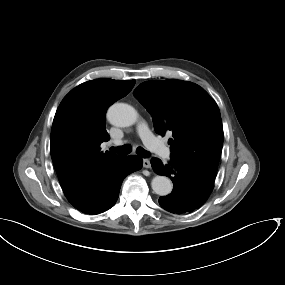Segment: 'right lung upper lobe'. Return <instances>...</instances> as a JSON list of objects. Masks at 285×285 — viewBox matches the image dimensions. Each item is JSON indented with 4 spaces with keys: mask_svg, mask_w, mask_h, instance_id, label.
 <instances>
[{
    "mask_svg": "<svg viewBox=\"0 0 285 285\" xmlns=\"http://www.w3.org/2000/svg\"><path fill=\"white\" fill-rule=\"evenodd\" d=\"M134 85L135 80L100 78L78 85L60 103L53 120L50 152L70 203L125 158L114 152L103 153L100 145L109 140L105 127L108 107L126 96Z\"/></svg>",
    "mask_w": 285,
    "mask_h": 285,
    "instance_id": "cb5924a9",
    "label": "right lung upper lobe"
}]
</instances>
